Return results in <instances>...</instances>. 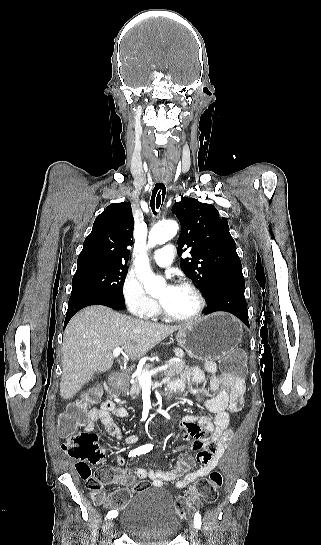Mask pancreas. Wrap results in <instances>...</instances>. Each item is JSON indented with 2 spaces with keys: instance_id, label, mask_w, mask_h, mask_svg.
<instances>
[{
  "instance_id": "pancreas-1",
  "label": "pancreas",
  "mask_w": 321,
  "mask_h": 545,
  "mask_svg": "<svg viewBox=\"0 0 321 545\" xmlns=\"http://www.w3.org/2000/svg\"><path fill=\"white\" fill-rule=\"evenodd\" d=\"M153 369V365H144L143 371H153ZM184 369H187L185 361H180V363H170V365H168V369H165L164 375L165 377H178L180 373H183ZM123 375H127V373H123ZM141 389L142 387L139 385L138 381L131 383L130 395H132V397H134V395H139V393H141Z\"/></svg>"
}]
</instances>
